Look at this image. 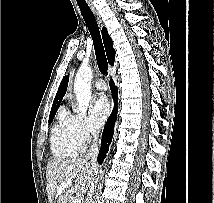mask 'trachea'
I'll use <instances>...</instances> for the list:
<instances>
[{"label": "trachea", "mask_w": 214, "mask_h": 203, "mask_svg": "<svg viewBox=\"0 0 214 203\" xmlns=\"http://www.w3.org/2000/svg\"><path fill=\"white\" fill-rule=\"evenodd\" d=\"M78 6L93 40L99 70L102 74L107 75L108 62L95 16L86 3H78Z\"/></svg>", "instance_id": "3493384b"}]
</instances>
